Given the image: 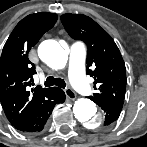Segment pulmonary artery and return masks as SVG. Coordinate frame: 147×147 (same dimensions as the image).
Wrapping results in <instances>:
<instances>
[{"mask_svg":"<svg viewBox=\"0 0 147 147\" xmlns=\"http://www.w3.org/2000/svg\"><path fill=\"white\" fill-rule=\"evenodd\" d=\"M85 50L81 44H73L70 49L69 74L72 84L81 95H86L90 87L83 73Z\"/></svg>","mask_w":147,"mask_h":147,"instance_id":"1","label":"pulmonary artery"}]
</instances>
